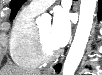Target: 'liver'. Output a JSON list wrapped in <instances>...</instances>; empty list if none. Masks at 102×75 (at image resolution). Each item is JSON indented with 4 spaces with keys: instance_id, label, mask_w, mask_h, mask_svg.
Here are the masks:
<instances>
[{
    "instance_id": "obj_1",
    "label": "liver",
    "mask_w": 102,
    "mask_h": 75,
    "mask_svg": "<svg viewBox=\"0 0 102 75\" xmlns=\"http://www.w3.org/2000/svg\"><path fill=\"white\" fill-rule=\"evenodd\" d=\"M0 75H41L39 71H27L17 66H5L0 70Z\"/></svg>"
}]
</instances>
